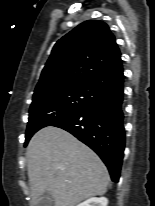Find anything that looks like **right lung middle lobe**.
<instances>
[{"mask_svg":"<svg viewBox=\"0 0 155 206\" xmlns=\"http://www.w3.org/2000/svg\"><path fill=\"white\" fill-rule=\"evenodd\" d=\"M100 94L101 91L84 85L60 87L34 93L24 145H27L35 132L70 117Z\"/></svg>","mask_w":155,"mask_h":206,"instance_id":"1","label":"right lung middle lobe"}]
</instances>
